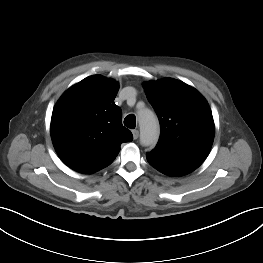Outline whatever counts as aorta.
<instances>
[{"mask_svg":"<svg viewBox=\"0 0 263 263\" xmlns=\"http://www.w3.org/2000/svg\"><path fill=\"white\" fill-rule=\"evenodd\" d=\"M140 127V143L142 146L153 147L159 136L158 120L153 111L142 109L138 112Z\"/></svg>","mask_w":263,"mask_h":263,"instance_id":"1","label":"aorta"}]
</instances>
